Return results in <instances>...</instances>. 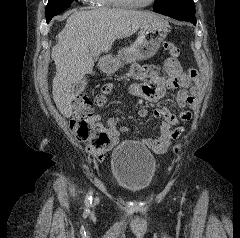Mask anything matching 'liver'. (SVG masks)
<instances>
[{
  "label": "liver",
  "instance_id": "obj_1",
  "mask_svg": "<svg viewBox=\"0 0 240 238\" xmlns=\"http://www.w3.org/2000/svg\"><path fill=\"white\" fill-rule=\"evenodd\" d=\"M162 21L154 13L98 8L73 11L57 36L51 56L56 66L53 100L64 117L72 115L74 85L93 70L94 59L108 53L115 40L128 38L137 30Z\"/></svg>",
  "mask_w": 240,
  "mask_h": 238
}]
</instances>
